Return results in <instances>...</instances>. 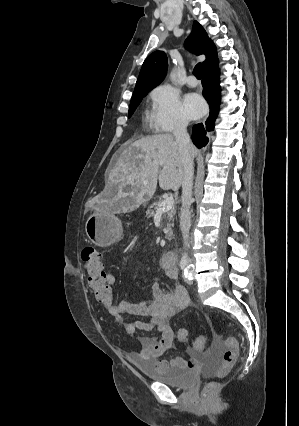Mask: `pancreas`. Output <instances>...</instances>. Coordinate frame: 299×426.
<instances>
[{
    "label": "pancreas",
    "instance_id": "pancreas-1",
    "mask_svg": "<svg viewBox=\"0 0 299 426\" xmlns=\"http://www.w3.org/2000/svg\"><path fill=\"white\" fill-rule=\"evenodd\" d=\"M162 202H163V200H162V199H161V200H159V201H157V202H154V203H153V205L151 206V207H152V209H149V210L147 211V216H148V217H153V216H155V214L158 212L159 205H160ZM175 214H176V210H175V208H174V207H173V208H171L170 210H167V211L163 212V218H165V219H167V220H168L167 228H168V230H169V233H167V235H166V237H167L168 239H171V237H172L171 227L173 226V220H174V215H175Z\"/></svg>",
    "mask_w": 299,
    "mask_h": 426
}]
</instances>
